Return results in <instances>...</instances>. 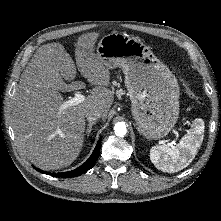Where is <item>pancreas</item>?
<instances>
[{
	"label": "pancreas",
	"mask_w": 221,
	"mask_h": 221,
	"mask_svg": "<svg viewBox=\"0 0 221 221\" xmlns=\"http://www.w3.org/2000/svg\"><path fill=\"white\" fill-rule=\"evenodd\" d=\"M114 87H118V89L116 90L117 95H123L124 94V91L120 88V84L117 83L116 81H113V86H112L113 90H114Z\"/></svg>",
	"instance_id": "cf45deb5"
}]
</instances>
